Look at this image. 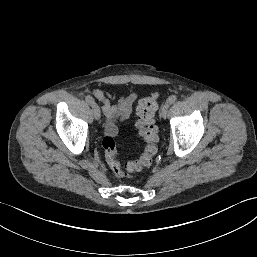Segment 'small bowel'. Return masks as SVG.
<instances>
[{"instance_id":"obj_1","label":"small bowel","mask_w":257,"mask_h":257,"mask_svg":"<svg viewBox=\"0 0 257 257\" xmlns=\"http://www.w3.org/2000/svg\"><path fill=\"white\" fill-rule=\"evenodd\" d=\"M92 94L102 103V110L107 118L106 132L110 135H115L117 133L116 121L118 119L125 120L130 116L136 95L130 94L124 96L116 105H111L110 98L112 94L110 92L93 89Z\"/></svg>"}]
</instances>
